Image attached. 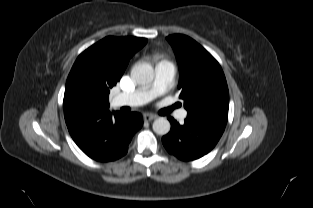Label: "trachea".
<instances>
[{
	"label": "trachea",
	"mask_w": 313,
	"mask_h": 208,
	"mask_svg": "<svg viewBox=\"0 0 313 208\" xmlns=\"http://www.w3.org/2000/svg\"><path fill=\"white\" fill-rule=\"evenodd\" d=\"M179 107L178 104L173 105L172 107H169L167 109H164V114H169L173 109Z\"/></svg>",
	"instance_id": "trachea-1"
}]
</instances>
